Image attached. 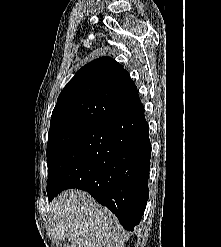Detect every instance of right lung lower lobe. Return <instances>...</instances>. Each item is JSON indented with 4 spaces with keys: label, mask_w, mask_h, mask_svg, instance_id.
Masks as SVG:
<instances>
[{
    "label": "right lung lower lobe",
    "mask_w": 221,
    "mask_h": 247,
    "mask_svg": "<svg viewBox=\"0 0 221 247\" xmlns=\"http://www.w3.org/2000/svg\"><path fill=\"white\" fill-rule=\"evenodd\" d=\"M151 144L141 105L90 127L53 165L48 200L68 188L87 191L133 231L149 197Z\"/></svg>",
    "instance_id": "1"
}]
</instances>
